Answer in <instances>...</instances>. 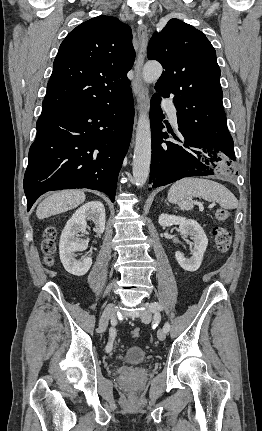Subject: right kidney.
I'll return each instance as SVG.
<instances>
[{
    "label": "right kidney",
    "instance_id": "ca27d5eb",
    "mask_svg": "<svg viewBox=\"0 0 262 431\" xmlns=\"http://www.w3.org/2000/svg\"><path fill=\"white\" fill-rule=\"evenodd\" d=\"M105 208L100 201H91L72 215L66 223L59 243L60 260L67 272L76 276L85 275L92 265V258L87 256L81 260L76 259L75 252L87 248L88 241L78 238L79 233H85L87 221L95 224L94 231L98 234L105 230Z\"/></svg>",
    "mask_w": 262,
    "mask_h": 431
}]
</instances>
